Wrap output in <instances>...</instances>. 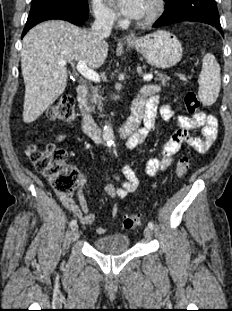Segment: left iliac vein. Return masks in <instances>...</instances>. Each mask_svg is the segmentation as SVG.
Wrapping results in <instances>:
<instances>
[{
	"label": "left iliac vein",
	"mask_w": 232,
	"mask_h": 311,
	"mask_svg": "<svg viewBox=\"0 0 232 311\" xmlns=\"http://www.w3.org/2000/svg\"><path fill=\"white\" fill-rule=\"evenodd\" d=\"M152 235H153L152 229L150 227H146L144 229V236H145V238L146 239H150L152 237Z\"/></svg>",
	"instance_id": "4c4485c4"
}]
</instances>
